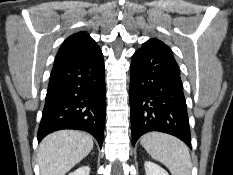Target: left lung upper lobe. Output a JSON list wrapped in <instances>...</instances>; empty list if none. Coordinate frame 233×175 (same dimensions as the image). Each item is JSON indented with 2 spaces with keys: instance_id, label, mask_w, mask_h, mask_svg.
<instances>
[{
  "instance_id": "1",
  "label": "left lung upper lobe",
  "mask_w": 233,
  "mask_h": 175,
  "mask_svg": "<svg viewBox=\"0 0 233 175\" xmlns=\"http://www.w3.org/2000/svg\"><path fill=\"white\" fill-rule=\"evenodd\" d=\"M147 45H150L153 48H156L160 51H162L163 53L167 54L168 56H170L171 58L174 59L172 51L170 50V48L164 44L162 41L158 40V39H150L148 40L146 43Z\"/></svg>"
}]
</instances>
